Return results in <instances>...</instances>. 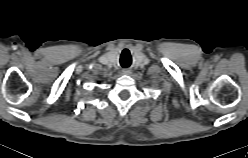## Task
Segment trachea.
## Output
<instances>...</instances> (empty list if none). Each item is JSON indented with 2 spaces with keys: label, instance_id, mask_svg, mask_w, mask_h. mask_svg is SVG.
<instances>
[{
  "label": "trachea",
  "instance_id": "trachea-1",
  "mask_svg": "<svg viewBox=\"0 0 248 158\" xmlns=\"http://www.w3.org/2000/svg\"><path fill=\"white\" fill-rule=\"evenodd\" d=\"M121 64H122L123 67H127V66H128L127 63H122V62H121Z\"/></svg>",
  "mask_w": 248,
  "mask_h": 158
}]
</instances>
